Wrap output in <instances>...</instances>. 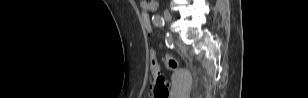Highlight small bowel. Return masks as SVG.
I'll return each mask as SVG.
<instances>
[{"label":"small bowel","instance_id":"small-bowel-1","mask_svg":"<svg viewBox=\"0 0 308 98\" xmlns=\"http://www.w3.org/2000/svg\"><path fill=\"white\" fill-rule=\"evenodd\" d=\"M157 6H158L157 1H154V0H151V1H145V0L140 1V7H141L142 9H146L147 12H148V11H154V10H156V9H157ZM147 15H149V14L147 13ZM142 17H143V16H142ZM144 23H145V22H144Z\"/></svg>","mask_w":308,"mask_h":98}]
</instances>
